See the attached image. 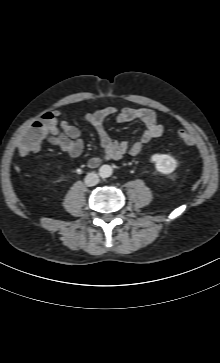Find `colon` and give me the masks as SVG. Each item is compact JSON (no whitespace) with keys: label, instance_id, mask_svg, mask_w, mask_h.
Instances as JSON below:
<instances>
[{"label":"colon","instance_id":"colon-1","mask_svg":"<svg viewBox=\"0 0 220 363\" xmlns=\"http://www.w3.org/2000/svg\"><path fill=\"white\" fill-rule=\"evenodd\" d=\"M52 118L53 115L51 113H46L41 117V120L32 125L26 133L27 142L29 144L37 145L43 141ZM178 138L186 144H192L194 142L192 135L184 130L178 132Z\"/></svg>","mask_w":220,"mask_h":363}]
</instances>
